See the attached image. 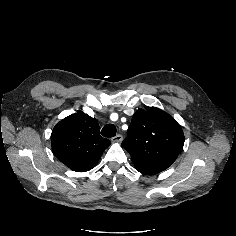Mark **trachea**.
<instances>
[{
	"mask_svg": "<svg viewBox=\"0 0 236 236\" xmlns=\"http://www.w3.org/2000/svg\"><path fill=\"white\" fill-rule=\"evenodd\" d=\"M101 135L107 138L114 137L116 135V127L113 124L105 125L101 130Z\"/></svg>",
	"mask_w": 236,
	"mask_h": 236,
	"instance_id": "1",
	"label": "trachea"
}]
</instances>
